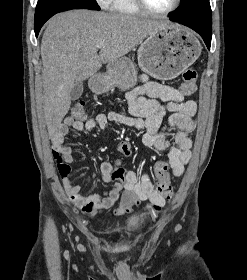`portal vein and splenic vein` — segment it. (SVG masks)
<instances>
[{
	"label": "portal vein and splenic vein",
	"instance_id": "1",
	"mask_svg": "<svg viewBox=\"0 0 247 280\" xmlns=\"http://www.w3.org/2000/svg\"><path fill=\"white\" fill-rule=\"evenodd\" d=\"M102 46H103L102 43H99V44L96 45V47H97L98 49L102 48Z\"/></svg>",
	"mask_w": 247,
	"mask_h": 280
}]
</instances>
